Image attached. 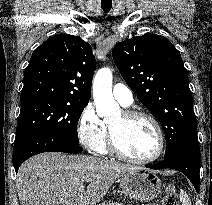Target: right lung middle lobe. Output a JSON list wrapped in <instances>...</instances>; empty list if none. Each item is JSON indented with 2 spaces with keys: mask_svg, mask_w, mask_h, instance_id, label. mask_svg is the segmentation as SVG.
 Listing matches in <instances>:
<instances>
[{
  "mask_svg": "<svg viewBox=\"0 0 212 205\" xmlns=\"http://www.w3.org/2000/svg\"><path fill=\"white\" fill-rule=\"evenodd\" d=\"M15 142L38 135H51L79 144L77 124L87 103L46 98L21 101Z\"/></svg>",
  "mask_w": 212,
  "mask_h": 205,
  "instance_id": "dd1d6c3e",
  "label": "right lung middle lobe"
}]
</instances>
